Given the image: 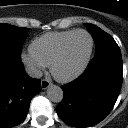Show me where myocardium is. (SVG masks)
I'll return each instance as SVG.
<instances>
[{"instance_id":"obj_1","label":"myocardium","mask_w":128,"mask_h":128,"mask_svg":"<svg viewBox=\"0 0 128 128\" xmlns=\"http://www.w3.org/2000/svg\"><path fill=\"white\" fill-rule=\"evenodd\" d=\"M78 33H84L88 36L89 40H90V47H89V51L88 54L86 56V58L84 59L83 63L81 64V66L72 74L68 75V76H60L56 73V67L59 64V62L62 60L63 56H64V52L65 49L69 43V41L71 40V38L73 36H75ZM93 49H94V39L92 37V35L84 29H76L74 30L61 44V46L59 47L54 59L52 60L51 64H50V72L52 74V76L59 82L61 83H69L74 81L75 79H77L78 77H80L84 71L86 70L91 57H92V53H93Z\"/></svg>"}]
</instances>
